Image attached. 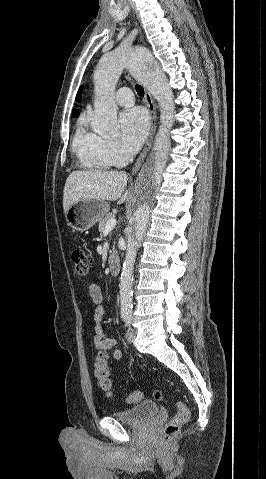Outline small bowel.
<instances>
[{"mask_svg": "<svg viewBox=\"0 0 266 479\" xmlns=\"http://www.w3.org/2000/svg\"><path fill=\"white\" fill-rule=\"evenodd\" d=\"M90 296L95 303V309L93 313V319L95 322L94 327V342L98 350L110 351L112 350V356L115 360H120L122 358V352L117 348V342L114 338L109 337L104 333L101 327V321L105 314V309L102 305L103 295L101 289L96 284H91L89 286Z\"/></svg>", "mask_w": 266, "mask_h": 479, "instance_id": "1", "label": "small bowel"}]
</instances>
